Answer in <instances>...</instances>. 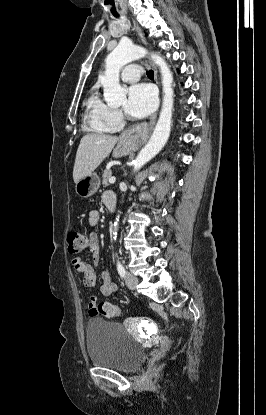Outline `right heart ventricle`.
Masks as SVG:
<instances>
[{
	"label": "right heart ventricle",
	"mask_w": 266,
	"mask_h": 415,
	"mask_svg": "<svg viewBox=\"0 0 266 415\" xmlns=\"http://www.w3.org/2000/svg\"><path fill=\"white\" fill-rule=\"evenodd\" d=\"M103 103L98 100L95 94H92L88 101V112L86 119L91 126V128L95 131L99 132H106L109 131L111 128L105 123L101 115V107Z\"/></svg>",
	"instance_id": "e07e8e85"
}]
</instances>
